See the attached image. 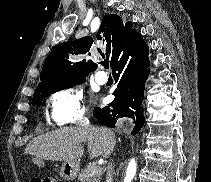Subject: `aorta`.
<instances>
[{
  "instance_id": "762f6f07",
  "label": "aorta",
  "mask_w": 211,
  "mask_h": 182,
  "mask_svg": "<svg viewBox=\"0 0 211 182\" xmlns=\"http://www.w3.org/2000/svg\"><path fill=\"white\" fill-rule=\"evenodd\" d=\"M136 169H137L136 161L135 159H131L126 170V176L124 178V182H132L136 174Z\"/></svg>"
}]
</instances>
